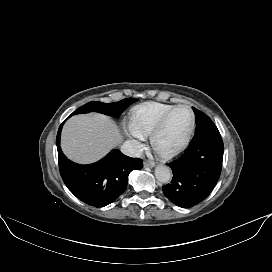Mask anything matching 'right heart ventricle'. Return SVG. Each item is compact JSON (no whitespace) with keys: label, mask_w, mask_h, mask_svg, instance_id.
<instances>
[{"label":"right heart ventricle","mask_w":272,"mask_h":272,"mask_svg":"<svg viewBox=\"0 0 272 272\" xmlns=\"http://www.w3.org/2000/svg\"><path fill=\"white\" fill-rule=\"evenodd\" d=\"M173 107L175 105L149 103L135 108L128 118L130 130L141 138L149 136L160 118Z\"/></svg>","instance_id":"1"}]
</instances>
